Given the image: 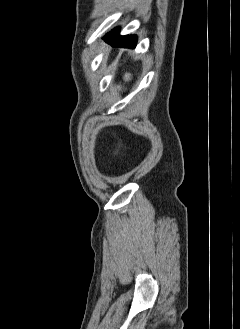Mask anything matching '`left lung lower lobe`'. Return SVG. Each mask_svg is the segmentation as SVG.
I'll use <instances>...</instances> for the list:
<instances>
[{"instance_id":"0a47b994","label":"left lung lower lobe","mask_w":240,"mask_h":329,"mask_svg":"<svg viewBox=\"0 0 240 329\" xmlns=\"http://www.w3.org/2000/svg\"><path fill=\"white\" fill-rule=\"evenodd\" d=\"M119 30V28L113 29L111 32L106 34L103 39L115 47H133L136 45L137 37L135 35L118 36Z\"/></svg>"}]
</instances>
